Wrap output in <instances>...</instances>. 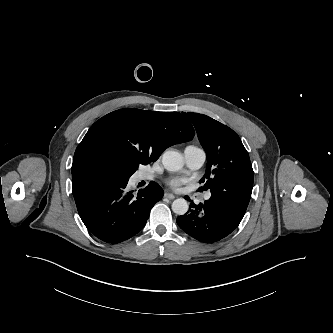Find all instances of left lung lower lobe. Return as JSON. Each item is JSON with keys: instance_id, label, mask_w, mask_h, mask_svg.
<instances>
[{"instance_id": "0a47b994", "label": "left lung lower lobe", "mask_w": 333, "mask_h": 333, "mask_svg": "<svg viewBox=\"0 0 333 333\" xmlns=\"http://www.w3.org/2000/svg\"><path fill=\"white\" fill-rule=\"evenodd\" d=\"M253 188L251 163H244L219 177L211 198L177 218L179 227L191 237L206 243L219 241L241 222Z\"/></svg>"}]
</instances>
